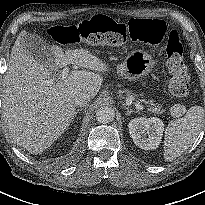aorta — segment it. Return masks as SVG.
<instances>
[{
    "mask_svg": "<svg viewBox=\"0 0 205 205\" xmlns=\"http://www.w3.org/2000/svg\"><path fill=\"white\" fill-rule=\"evenodd\" d=\"M115 117V112L112 108L110 107H101L97 110L96 112V119L99 123H109L113 121Z\"/></svg>",
    "mask_w": 205,
    "mask_h": 205,
    "instance_id": "762f6f07",
    "label": "aorta"
}]
</instances>
